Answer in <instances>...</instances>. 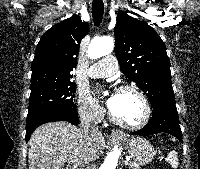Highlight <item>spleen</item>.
I'll list each match as a JSON object with an SVG mask.
<instances>
[{
  "mask_svg": "<svg viewBox=\"0 0 200 169\" xmlns=\"http://www.w3.org/2000/svg\"><path fill=\"white\" fill-rule=\"evenodd\" d=\"M168 163L173 167L177 168L178 166V157H177V152L176 151H171L168 153L167 156Z\"/></svg>",
  "mask_w": 200,
  "mask_h": 169,
  "instance_id": "spleen-1",
  "label": "spleen"
}]
</instances>
